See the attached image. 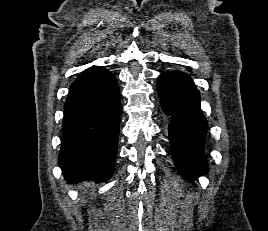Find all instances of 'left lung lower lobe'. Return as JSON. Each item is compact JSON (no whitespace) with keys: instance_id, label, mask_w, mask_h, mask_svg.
Listing matches in <instances>:
<instances>
[{"instance_id":"1","label":"left lung lower lobe","mask_w":268,"mask_h":231,"mask_svg":"<svg viewBox=\"0 0 268 231\" xmlns=\"http://www.w3.org/2000/svg\"><path fill=\"white\" fill-rule=\"evenodd\" d=\"M157 90L161 107L172 120V156L185 177L197 178L207 171L204 144L208 124L201 110V96L192 79L179 71L162 73Z\"/></svg>"}]
</instances>
